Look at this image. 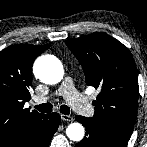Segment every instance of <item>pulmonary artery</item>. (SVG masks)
<instances>
[{
  "label": "pulmonary artery",
  "instance_id": "1",
  "mask_svg": "<svg viewBox=\"0 0 147 147\" xmlns=\"http://www.w3.org/2000/svg\"><path fill=\"white\" fill-rule=\"evenodd\" d=\"M56 95L63 96L71 107L80 114L90 116L93 114V107L88 100L77 91L74 86L73 80L70 77H66L61 83L60 87L56 91ZM49 97L36 96L34 101L36 104L46 102Z\"/></svg>",
  "mask_w": 147,
  "mask_h": 147
}]
</instances>
